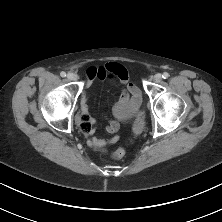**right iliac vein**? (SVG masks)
<instances>
[{"label":"right iliac vein","instance_id":"right-iliac-vein-1","mask_svg":"<svg viewBox=\"0 0 222 222\" xmlns=\"http://www.w3.org/2000/svg\"><path fill=\"white\" fill-rule=\"evenodd\" d=\"M67 78L71 81H75V80H77V75L74 73H68Z\"/></svg>","mask_w":222,"mask_h":222}]
</instances>
